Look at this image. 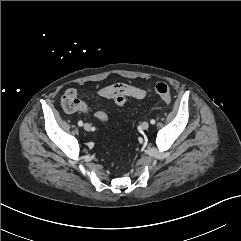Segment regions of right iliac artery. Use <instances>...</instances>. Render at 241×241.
Returning <instances> with one entry per match:
<instances>
[{
	"label": "right iliac artery",
	"instance_id": "1",
	"mask_svg": "<svg viewBox=\"0 0 241 241\" xmlns=\"http://www.w3.org/2000/svg\"><path fill=\"white\" fill-rule=\"evenodd\" d=\"M78 125H79V126H82V125H83V122H82V121H78Z\"/></svg>",
	"mask_w": 241,
	"mask_h": 241
}]
</instances>
